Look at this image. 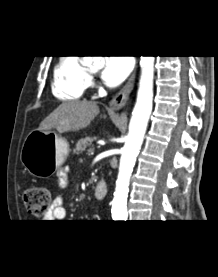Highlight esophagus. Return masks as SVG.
<instances>
[{"label":"esophagus","instance_id":"1","mask_svg":"<svg viewBox=\"0 0 218 277\" xmlns=\"http://www.w3.org/2000/svg\"><path fill=\"white\" fill-rule=\"evenodd\" d=\"M136 71L130 76L124 87L112 98L109 106L114 110L121 109L128 101L130 93L134 87Z\"/></svg>","mask_w":218,"mask_h":277}]
</instances>
